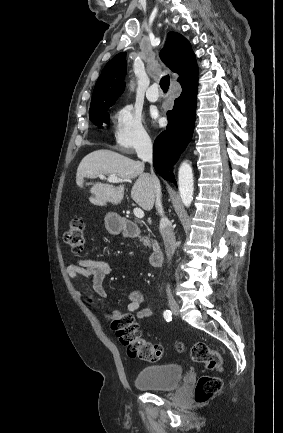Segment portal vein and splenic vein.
<instances>
[{
    "instance_id": "portal-vein-and-splenic-vein-1",
    "label": "portal vein and splenic vein",
    "mask_w": 283,
    "mask_h": 433,
    "mask_svg": "<svg viewBox=\"0 0 283 433\" xmlns=\"http://www.w3.org/2000/svg\"><path fill=\"white\" fill-rule=\"evenodd\" d=\"M99 178H106L108 182H123V178H119V176H105V174H98ZM133 212L137 219H143L144 212L141 208H133Z\"/></svg>"
}]
</instances>
